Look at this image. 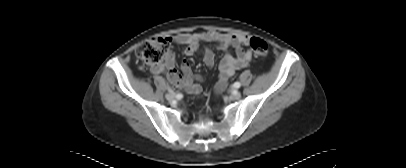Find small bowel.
I'll return each instance as SVG.
<instances>
[{
	"instance_id": "small-bowel-1",
	"label": "small bowel",
	"mask_w": 406,
	"mask_h": 168,
	"mask_svg": "<svg viewBox=\"0 0 406 168\" xmlns=\"http://www.w3.org/2000/svg\"><path fill=\"white\" fill-rule=\"evenodd\" d=\"M170 39L175 44L185 46L184 54L186 56L198 53L202 43H214L218 49L222 51H227L229 48L235 50V56L230 53H225L220 62L219 77L214 89L215 95L221 94L235 72L248 66L252 60V53L249 50L243 49V46L249 41L246 35H232L220 32H197L180 33L172 36ZM203 60L208 67L214 65L215 55L211 49H204ZM150 70L153 74L166 73L175 87L185 89L190 94L198 95L202 92L201 85L193 82L194 79L199 80L200 77L193 75L190 64L187 61H183L181 72H177L175 57L172 53H169L165 63L152 65Z\"/></svg>"
}]
</instances>
